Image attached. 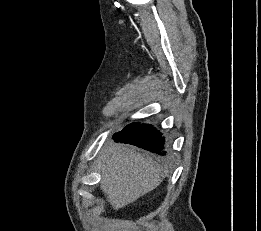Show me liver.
<instances>
[{
    "instance_id": "1",
    "label": "liver",
    "mask_w": 261,
    "mask_h": 231,
    "mask_svg": "<svg viewBox=\"0 0 261 231\" xmlns=\"http://www.w3.org/2000/svg\"><path fill=\"white\" fill-rule=\"evenodd\" d=\"M100 188L118 210L154 190L162 182L151 158L128 145L110 143L98 158Z\"/></svg>"
}]
</instances>
